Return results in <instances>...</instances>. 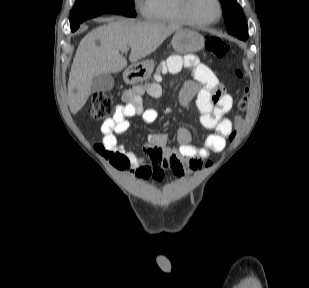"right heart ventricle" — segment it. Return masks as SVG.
<instances>
[{
    "label": "right heart ventricle",
    "instance_id": "right-heart-ventricle-1",
    "mask_svg": "<svg viewBox=\"0 0 309 288\" xmlns=\"http://www.w3.org/2000/svg\"><path fill=\"white\" fill-rule=\"evenodd\" d=\"M143 15L158 22L189 24L181 10L180 0H145Z\"/></svg>",
    "mask_w": 309,
    "mask_h": 288
}]
</instances>
